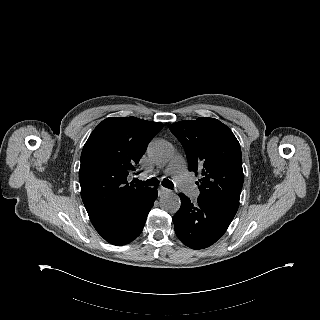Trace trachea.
<instances>
[{"mask_svg": "<svg viewBox=\"0 0 320 320\" xmlns=\"http://www.w3.org/2000/svg\"><path fill=\"white\" fill-rule=\"evenodd\" d=\"M135 182L138 184L144 185V186H157L160 183L159 180L154 177L151 179H148L146 181H141V180L135 179ZM162 185L166 188H169V189L174 188V184L169 179H163Z\"/></svg>", "mask_w": 320, "mask_h": 320, "instance_id": "1", "label": "trachea"}]
</instances>
